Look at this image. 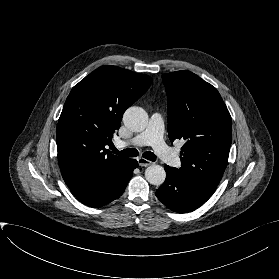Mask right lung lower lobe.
Listing matches in <instances>:
<instances>
[{
    "mask_svg": "<svg viewBox=\"0 0 279 279\" xmlns=\"http://www.w3.org/2000/svg\"><path fill=\"white\" fill-rule=\"evenodd\" d=\"M137 166L138 162L135 159H130L126 169L120 175H118L109 185L105 186L93 196H90L86 199H81L79 201L87 206L94 208L102 207L103 205L112 202L122 195L127 186V183L132 176L133 170L137 168Z\"/></svg>",
    "mask_w": 279,
    "mask_h": 279,
    "instance_id": "right-lung-lower-lobe-1",
    "label": "right lung lower lobe"
}]
</instances>
